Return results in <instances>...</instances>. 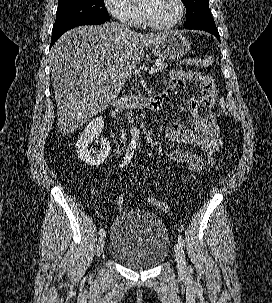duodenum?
Wrapping results in <instances>:
<instances>
[{"instance_id":"duodenum-1","label":"duodenum","mask_w":272,"mask_h":303,"mask_svg":"<svg viewBox=\"0 0 272 303\" xmlns=\"http://www.w3.org/2000/svg\"><path fill=\"white\" fill-rule=\"evenodd\" d=\"M168 97L169 95L166 92H162L158 95L142 100L140 104L144 108L156 111L161 109L165 105ZM118 106L121 107L123 106V104H118Z\"/></svg>"}]
</instances>
